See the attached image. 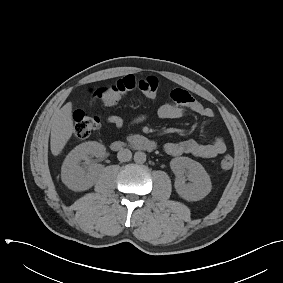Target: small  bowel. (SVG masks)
Segmentation results:
<instances>
[{
    "mask_svg": "<svg viewBox=\"0 0 283 283\" xmlns=\"http://www.w3.org/2000/svg\"><path fill=\"white\" fill-rule=\"evenodd\" d=\"M103 89L95 90L93 96L100 98V92ZM170 97L172 101L163 104L158 109V115L163 119H179L184 117L187 112H193L204 118H212L214 116L211 108L204 106L186 90L173 89L170 92ZM146 119V115H139L132 119L129 126L140 124ZM107 123L117 129H121L124 126V120L117 115L108 116ZM226 149L227 145L222 137H215L209 143H200L194 139H185L179 142H168L164 145V151L173 157L189 154L198 158H214L223 154Z\"/></svg>",
    "mask_w": 283,
    "mask_h": 283,
    "instance_id": "1",
    "label": "small bowel"
}]
</instances>
